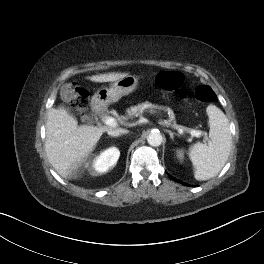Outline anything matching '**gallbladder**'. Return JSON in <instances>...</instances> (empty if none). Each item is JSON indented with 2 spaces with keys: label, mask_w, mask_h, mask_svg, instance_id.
<instances>
[{
  "label": "gallbladder",
  "mask_w": 264,
  "mask_h": 264,
  "mask_svg": "<svg viewBox=\"0 0 264 264\" xmlns=\"http://www.w3.org/2000/svg\"><path fill=\"white\" fill-rule=\"evenodd\" d=\"M60 97L62 101L68 103L72 100L71 87L67 84L63 85L60 89ZM94 119L93 115H86L82 117V121L92 123Z\"/></svg>",
  "instance_id": "1"
}]
</instances>
